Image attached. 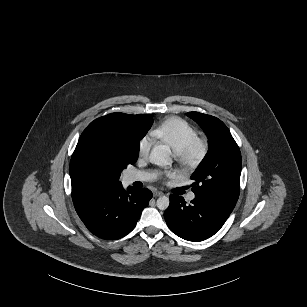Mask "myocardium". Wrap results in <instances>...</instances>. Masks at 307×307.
<instances>
[{
    "instance_id": "f54148a6",
    "label": "myocardium",
    "mask_w": 307,
    "mask_h": 307,
    "mask_svg": "<svg viewBox=\"0 0 307 307\" xmlns=\"http://www.w3.org/2000/svg\"><path fill=\"white\" fill-rule=\"evenodd\" d=\"M208 144L202 139H195L180 151L174 152V157L187 168L198 167L206 157Z\"/></svg>"
}]
</instances>
